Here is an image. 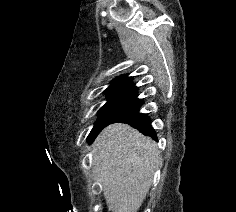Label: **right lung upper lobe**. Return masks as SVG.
Here are the masks:
<instances>
[{
    "label": "right lung upper lobe",
    "instance_id": "cb5924a9",
    "mask_svg": "<svg viewBox=\"0 0 236 212\" xmlns=\"http://www.w3.org/2000/svg\"><path fill=\"white\" fill-rule=\"evenodd\" d=\"M132 79V77H128V74L116 77L111 82V85L105 90V93L109 95L113 93L130 92L136 87L132 82Z\"/></svg>",
    "mask_w": 236,
    "mask_h": 212
}]
</instances>
